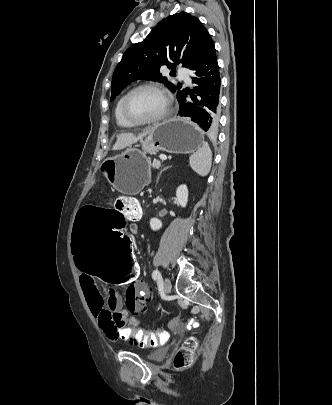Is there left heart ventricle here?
<instances>
[{
  "instance_id": "obj_1",
  "label": "left heart ventricle",
  "mask_w": 332,
  "mask_h": 405,
  "mask_svg": "<svg viewBox=\"0 0 332 405\" xmlns=\"http://www.w3.org/2000/svg\"><path fill=\"white\" fill-rule=\"evenodd\" d=\"M126 109L135 120H148L160 115L165 109L162 95L152 89H141L130 96Z\"/></svg>"
}]
</instances>
